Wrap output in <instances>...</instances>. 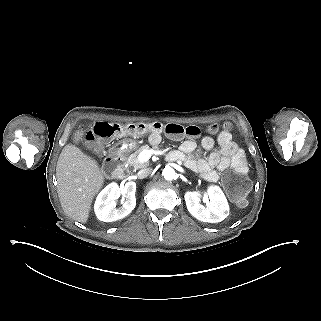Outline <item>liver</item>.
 <instances>
[{
	"label": "liver",
	"mask_w": 321,
	"mask_h": 321,
	"mask_svg": "<svg viewBox=\"0 0 321 321\" xmlns=\"http://www.w3.org/2000/svg\"><path fill=\"white\" fill-rule=\"evenodd\" d=\"M83 131L75 133L78 142ZM58 196L64 212L72 219L86 223L93 197L103 185L104 177L97 162L75 145H66L56 167Z\"/></svg>",
	"instance_id": "obj_1"
}]
</instances>
